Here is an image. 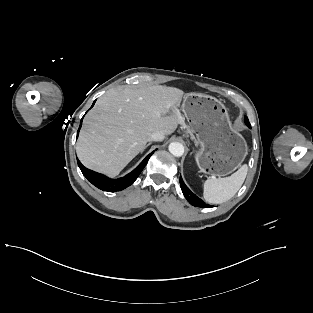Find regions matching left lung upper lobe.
Listing matches in <instances>:
<instances>
[{
	"mask_svg": "<svg viewBox=\"0 0 313 313\" xmlns=\"http://www.w3.org/2000/svg\"><path fill=\"white\" fill-rule=\"evenodd\" d=\"M245 124L250 128L251 126H250V123H249V120H248V118L245 116Z\"/></svg>",
	"mask_w": 313,
	"mask_h": 313,
	"instance_id": "left-lung-upper-lobe-1",
	"label": "left lung upper lobe"
}]
</instances>
